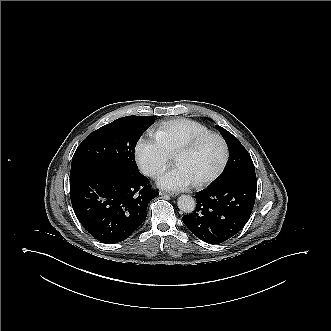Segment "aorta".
<instances>
[{
  "label": "aorta",
  "mask_w": 331,
  "mask_h": 331,
  "mask_svg": "<svg viewBox=\"0 0 331 331\" xmlns=\"http://www.w3.org/2000/svg\"><path fill=\"white\" fill-rule=\"evenodd\" d=\"M178 208L184 213H192L196 208V201L190 195H181L177 200Z\"/></svg>",
  "instance_id": "1"
}]
</instances>
